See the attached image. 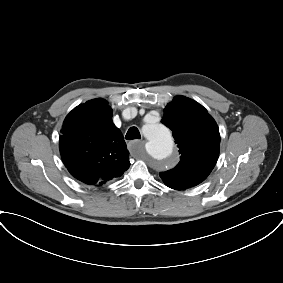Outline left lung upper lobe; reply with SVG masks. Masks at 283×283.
I'll use <instances>...</instances> for the list:
<instances>
[{
	"label": "left lung upper lobe",
	"mask_w": 283,
	"mask_h": 283,
	"mask_svg": "<svg viewBox=\"0 0 283 283\" xmlns=\"http://www.w3.org/2000/svg\"><path fill=\"white\" fill-rule=\"evenodd\" d=\"M163 124L173 132L180 162L160 173L166 186L183 190L193 187L210 174L219 156V129L207 110L194 100L177 96L167 105Z\"/></svg>",
	"instance_id": "obj_1"
}]
</instances>
